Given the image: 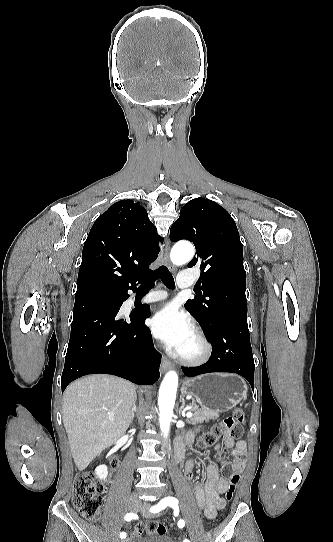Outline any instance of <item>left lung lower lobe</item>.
I'll use <instances>...</instances> for the list:
<instances>
[{"instance_id":"0a47b994","label":"left lung lower lobe","mask_w":333,"mask_h":542,"mask_svg":"<svg viewBox=\"0 0 333 542\" xmlns=\"http://www.w3.org/2000/svg\"><path fill=\"white\" fill-rule=\"evenodd\" d=\"M212 344L209 361L199 367H183L186 377L211 372H230L244 377L254 389V369L247 318L227 316L207 333Z\"/></svg>"}]
</instances>
